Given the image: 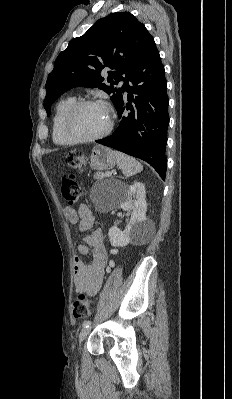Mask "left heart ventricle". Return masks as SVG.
<instances>
[{
    "mask_svg": "<svg viewBox=\"0 0 232 399\" xmlns=\"http://www.w3.org/2000/svg\"><path fill=\"white\" fill-rule=\"evenodd\" d=\"M72 129L80 137L100 135L109 125V112L103 105H88L80 108L72 119Z\"/></svg>",
    "mask_w": 232,
    "mask_h": 399,
    "instance_id": "left-heart-ventricle-1",
    "label": "left heart ventricle"
}]
</instances>
